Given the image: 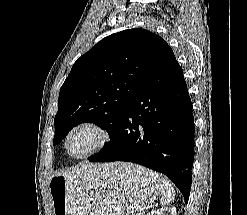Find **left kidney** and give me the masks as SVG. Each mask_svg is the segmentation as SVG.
<instances>
[{
	"mask_svg": "<svg viewBox=\"0 0 247 215\" xmlns=\"http://www.w3.org/2000/svg\"><path fill=\"white\" fill-rule=\"evenodd\" d=\"M148 215H176L175 207H162L152 210Z\"/></svg>",
	"mask_w": 247,
	"mask_h": 215,
	"instance_id": "5707ae66",
	"label": "left kidney"
}]
</instances>
